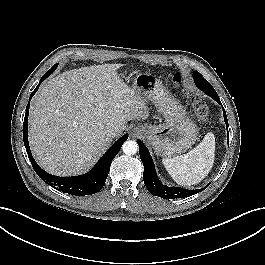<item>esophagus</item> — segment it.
I'll use <instances>...</instances> for the list:
<instances>
[{
	"mask_svg": "<svg viewBox=\"0 0 265 265\" xmlns=\"http://www.w3.org/2000/svg\"><path fill=\"white\" fill-rule=\"evenodd\" d=\"M139 131L137 129L133 130V134L136 135Z\"/></svg>",
	"mask_w": 265,
	"mask_h": 265,
	"instance_id": "esophagus-1",
	"label": "esophagus"
}]
</instances>
